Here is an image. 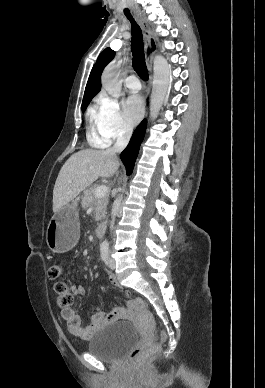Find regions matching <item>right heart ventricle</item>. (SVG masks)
I'll list each match as a JSON object with an SVG mask.
<instances>
[{"instance_id":"right-heart-ventricle-1","label":"right heart ventricle","mask_w":265,"mask_h":388,"mask_svg":"<svg viewBox=\"0 0 265 388\" xmlns=\"http://www.w3.org/2000/svg\"><path fill=\"white\" fill-rule=\"evenodd\" d=\"M89 139L91 140V142H93L94 144L99 145V146H104L107 143V140H105L104 138H100L97 135L94 127H90Z\"/></svg>"}]
</instances>
